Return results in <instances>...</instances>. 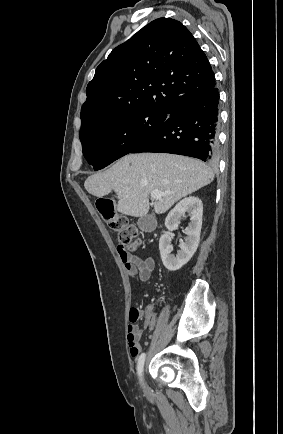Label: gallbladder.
Listing matches in <instances>:
<instances>
[{
	"label": "gallbladder",
	"instance_id": "gallbladder-1",
	"mask_svg": "<svg viewBox=\"0 0 283 434\" xmlns=\"http://www.w3.org/2000/svg\"><path fill=\"white\" fill-rule=\"evenodd\" d=\"M137 225L140 230L144 232H151L156 228V219L152 215H145L139 218Z\"/></svg>",
	"mask_w": 283,
	"mask_h": 434
}]
</instances>
